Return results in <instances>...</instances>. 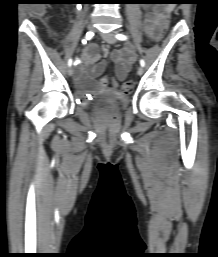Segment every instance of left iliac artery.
<instances>
[{
	"mask_svg": "<svg viewBox=\"0 0 218 257\" xmlns=\"http://www.w3.org/2000/svg\"><path fill=\"white\" fill-rule=\"evenodd\" d=\"M115 37H116L118 40H121V41H125V40L128 39L126 35L121 34V33L116 34ZM140 65H141L142 67L145 66V61H144L143 59L140 60Z\"/></svg>",
	"mask_w": 218,
	"mask_h": 257,
	"instance_id": "left-iliac-artery-1",
	"label": "left iliac artery"
}]
</instances>
